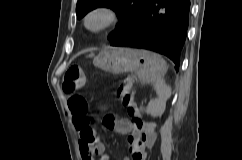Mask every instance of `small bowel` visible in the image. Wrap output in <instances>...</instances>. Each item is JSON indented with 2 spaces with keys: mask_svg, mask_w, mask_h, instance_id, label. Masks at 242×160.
Wrapping results in <instances>:
<instances>
[{
  "mask_svg": "<svg viewBox=\"0 0 242 160\" xmlns=\"http://www.w3.org/2000/svg\"><path fill=\"white\" fill-rule=\"evenodd\" d=\"M73 124L79 133V149L82 160H95V156H99V160H109L105 153L103 143L96 137L95 131L94 138L86 140L82 136L83 130L77 124V119L72 115ZM104 127L119 134L128 135V143L132 156L125 157L123 160H145L147 156V149L152 146L155 133L153 125L150 123L142 122L139 118L136 119H121L113 115H108L103 118Z\"/></svg>",
  "mask_w": 242,
  "mask_h": 160,
  "instance_id": "obj_1",
  "label": "small bowel"
}]
</instances>
